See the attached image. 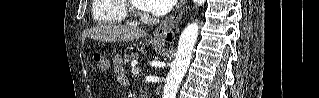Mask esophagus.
Wrapping results in <instances>:
<instances>
[{
    "mask_svg": "<svg viewBox=\"0 0 319 98\" xmlns=\"http://www.w3.org/2000/svg\"><path fill=\"white\" fill-rule=\"evenodd\" d=\"M187 1L180 0L176 5L174 11L166 17L154 30V38L162 42L171 44L175 41L174 28L180 23L181 18L186 10Z\"/></svg>",
    "mask_w": 319,
    "mask_h": 98,
    "instance_id": "1",
    "label": "esophagus"
}]
</instances>
